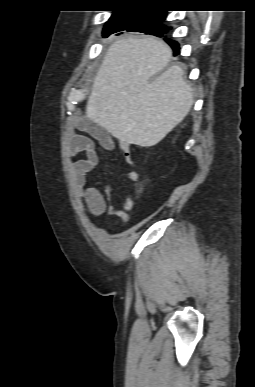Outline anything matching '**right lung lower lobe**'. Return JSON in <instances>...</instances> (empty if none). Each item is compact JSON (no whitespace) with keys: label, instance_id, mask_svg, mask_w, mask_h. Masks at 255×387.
Returning <instances> with one entry per match:
<instances>
[{"label":"right lung lower lobe","instance_id":"1","mask_svg":"<svg viewBox=\"0 0 255 387\" xmlns=\"http://www.w3.org/2000/svg\"><path fill=\"white\" fill-rule=\"evenodd\" d=\"M146 34H152V35H156V36H159V37H161L163 35V33L159 35L156 32H151L150 33V31H147ZM166 41L173 48L174 55H178L179 54V44L176 41H172V40H169V39H166Z\"/></svg>","mask_w":255,"mask_h":387}]
</instances>
